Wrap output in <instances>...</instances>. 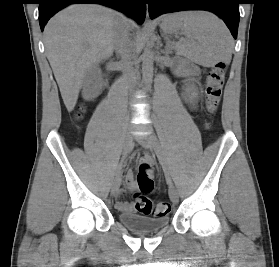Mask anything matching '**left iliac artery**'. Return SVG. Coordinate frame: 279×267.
I'll return each mask as SVG.
<instances>
[{
    "label": "left iliac artery",
    "instance_id": "obj_1",
    "mask_svg": "<svg viewBox=\"0 0 279 267\" xmlns=\"http://www.w3.org/2000/svg\"><path fill=\"white\" fill-rule=\"evenodd\" d=\"M156 137V136H155ZM157 139V138H156ZM158 142V141H157ZM160 162H161V165H162V168H163V171H164V174H165V177H166V180L169 184H171V177H170V171H169V168H168V164L166 162V159H165V156H164V153L163 151L161 150L160 146H159V150L156 152Z\"/></svg>",
    "mask_w": 279,
    "mask_h": 267
}]
</instances>
